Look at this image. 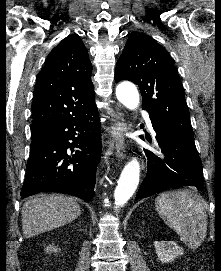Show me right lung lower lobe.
Masks as SVG:
<instances>
[{
  "label": "right lung lower lobe",
  "mask_w": 221,
  "mask_h": 271,
  "mask_svg": "<svg viewBox=\"0 0 221 271\" xmlns=\"http://www.w3.org/2000/svg\"><path fill=\"white\" fill-rule=\"evenodd\" d=\"M31 138L21 198L38 192H58L85 201L92 200L101 156L96 106L88 112L62 120ZM68 148L75 154L68 155Z\"/></svg>",
  "instance_id": "1"
}]
</instances>
